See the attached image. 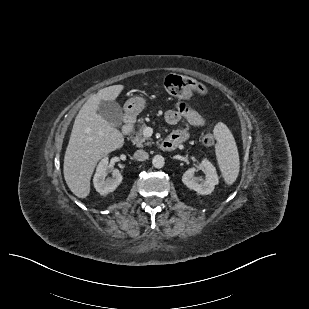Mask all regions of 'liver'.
Instances as JSON below:
<instances>
[{"label": "liver", "mask_w": 309, "mask_h": 309, "mask_svg": "<svg viewBox=\"0 0 309 309\" xmlns=\"http://www.w3.org/2000/svg\"><path fill=\"white\" fill-rule=\"evenodd\" d=\"M123 85L103 88L92 95L75 118L64 156L65 181L74 195L86 198L90 193V179L97 162L124 144L122 133L97 111L101 100L114 101Z\"/></svg>", "instance_id": "6515ba94"}]
</instances>
